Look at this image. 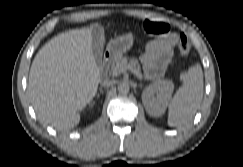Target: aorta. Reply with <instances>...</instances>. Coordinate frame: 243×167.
<instances>
[{
	"label": "aorta",
	"instance_id": "1",
	"mask_svg": "<svg viewBox=\"0 0 243 167\" xmlns=\"http://www.w3.org/2000/svg\"><path fill=\"white\" fill-rule=\"evenodd\" d=\"M119 93L126 94L129 92V85L126 83H122L118 86Z\"/></svg>",
	"mask_w": 243,
	"mask_h": 167
}]
</instances>
